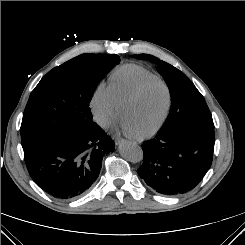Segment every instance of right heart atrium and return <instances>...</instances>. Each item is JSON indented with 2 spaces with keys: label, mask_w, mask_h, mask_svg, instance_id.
Listing matches in <instances>:
<instances>
[{
  "label": "right heart atrium",
  "mask_w": 245,
  "mask_h": 245,
  "mask_svg": "<svg viewBox=\"0 0 245 245\" xmlns=\"http://www.w3.org/2000/svg\"><path fill=\"white\" fill-rule=\"evenodd\" d=\"M90 108L96 122L102 126H109L118 112V103L114 98L110 85L100 82L91 97Z\"/></svg>",
  "instance_id": "1"
}]
</instances>
